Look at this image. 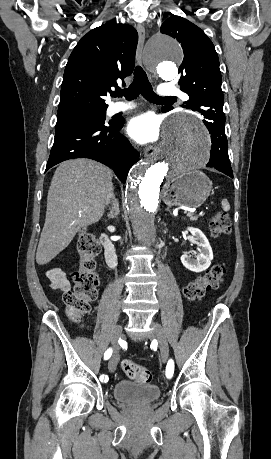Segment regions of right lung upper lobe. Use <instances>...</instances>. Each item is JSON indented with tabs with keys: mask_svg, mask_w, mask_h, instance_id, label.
Instances as JSON below:
<instances>
[{
	"mask_svg": "<svg viewBox=\"0 0 271 459\" xmlns=\"http://www.w3.org/2000/svg\"><path fill=\"white\" fill-rule=\"evenodd\" d=\"M137 42L132 26L114 21L82 37L65 67L58 111L108 106L104 97L112 92L111 87L133 71Z\"/></svg>",
	"mask_w": 271,
	"mask_h": 459,
	"instance_id": "obj_1",
	"label": "right lung upper lobe"
}]
</instances>
